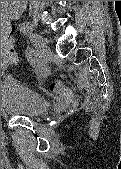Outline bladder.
<instances>
[{
    "instance_id": "obj_1",
    "label": "bladder",
    "mask_w": 121,
    "mask_h": 169,
    "mask_svg": "<svg viewBox=\"0 0 121 169\" xmlns=\"http://www.w3.org/2000/svg\"><path fill=\"white\" fill-rule=\"evenodd\" d=\"M1 107L10 116L37 118L47 112L50 102L12 77L1 82Z\"/></svg>"
}]
</instances>
